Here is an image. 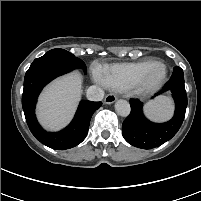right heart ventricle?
Segmentation results:
<instances>
[{"label": "right heart ventricle", "mask_w": 201, "mask_h": 201, "mask_svg": "<svg viewBox=\"0 0 201 201\" xmlns=\"http://www.w3.org/2000/svg\"><path fill=\"white\" fill-rule=\"evenodd\" d=\"M154 62V60L148 59L113 64L103 68L101 74L107 87L122 91L133 87L142 73Z\"/></svg>", "instance_id": "e07e8e85"}]
</instances>
